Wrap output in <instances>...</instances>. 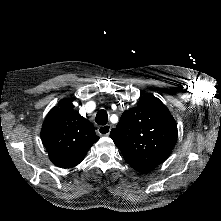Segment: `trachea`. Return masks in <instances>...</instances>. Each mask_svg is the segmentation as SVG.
Segmentation results:
<instances>
[{
  "label": "trachea",
  "instance_id": "3493384b",
  "mask_svg": "<svg viewBox=\"0 0 221 221\" xmlns=\"http://www.w3.org/2000/svg\"><path fill=\"white\" fill-rule=\"evenodd\" d=\"M95 121L99 125H106L108 122V114L106 110L104 109L99 110L96 115Z\"/></svg>",
  "mask_w": 221,
  "mask_h": 221
}]
</instances>
